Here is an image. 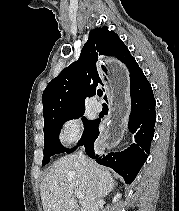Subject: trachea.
Returning a JSON list of instances; mask_svg holds the SVG:
<instances>
[{
    "instance_id": "1",
    "label": "trachea",
    "mask_w": 179,
    "mask_h": 211,
    "mask_svg": "<svg viewBox=\"0 0 179 211\" xmlns=\"http://www.w3.org/2000/svg\"><path fill=\"white\" fill-rule=\"evenodd\" d=\"M97 94H98L99 97H101L103 95V92L100 90V91H98Z\"/></svg>"
}]
</instances>
